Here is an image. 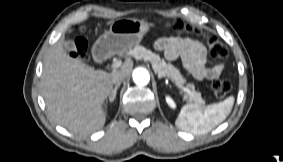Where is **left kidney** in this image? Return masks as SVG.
Wrapping results in <instances>:
<instances>
[{
    "mask_svg": "<svg viewBox=\"0 0 283 162\" xmlns=\"http://www.w3.org/2000/svg\"><path fill=\"white\" fill-rule=\"evenodd\" d=\"M166 102L168 103V105L171 107V108H175L176 107V104L175 102L173 101V99L170 97V96H166Z\"/></svg>",
    "mask_w": 283,
    "mask_h": 162,
    "instance_id": "left-kidney-1",
    "label": "left kidney"
}]
</instances>
